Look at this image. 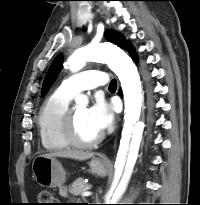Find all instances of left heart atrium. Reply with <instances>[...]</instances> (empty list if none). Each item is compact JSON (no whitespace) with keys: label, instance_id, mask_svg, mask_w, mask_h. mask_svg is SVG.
Instances as JSON below:
<instances>
[{"label":"left heart atrium","instance_id":"39dd6f15","mask_svg":"<svg viewBox=\"0 0 200 205\" xmlns=\"http://www.w3.org/2000/svg\"><path fill=\"white\" fill-rule=\"evenodd\" d=\"M88 112L91 122L100 133L112 126L114 111L104 99L97 98L95 103L88 109Z\"/></svg>","mask_w":200,"mask_h":205}]
</instances>
